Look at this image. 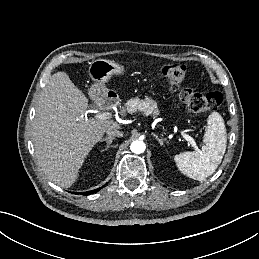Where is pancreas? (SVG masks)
<instances>
[{"label":"pancreas","instance_id":"cf45deb5","mask_svg":"<svg viewBox=\"0 0 259 259\" xmlns=\"http://www.w3.org/2000/svg\"><path fill=\"white\" fill-rule=\"evenodd\" d=\"M156 102L150 98L140 100L139 98L131 99L127 102V110L129 113L141 112L144 115L157 114L154 111Z\"/></svg>","mask_w":259,"mask_h":259}]
</instances>
